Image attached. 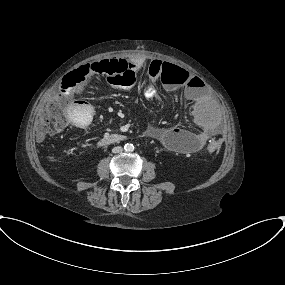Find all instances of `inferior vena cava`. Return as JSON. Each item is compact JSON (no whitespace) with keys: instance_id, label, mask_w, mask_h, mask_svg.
Here are the masks:
<instances>
[{"instance_id":"inferior-vena-cava-1","label":"inferior vena cava","mask_w":285,"mask_h":285,"mask_svg":"<svg viewBox=\"0 0 285 285\" xmlns=\"http://www.w3.org/2000/svg\"><path fill=\"white\" fill-rule=\"evenodd\" d=\"M123 151V148L121 147V146H117V147H114L113 149H112V152L113 153H121Z\"/></svg>"}]
</instances>
